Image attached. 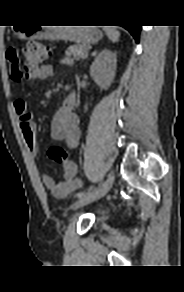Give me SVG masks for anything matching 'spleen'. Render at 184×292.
I'll return each mask as SVG.
<instances>
[{
	"label": "spleen",
	"mask_w": 184,
	"mask_h": 292,
	"mask_svg": "<svg viewBox=\"0 0 184 292\" xmlns=\"http://www.w3.org/2000/svg\"><path fill=\"white\" fill-rule=\"evenodd\" d=\"M104 30L113 43L119 40L120 32L115 27H105Z\"/></svg>",
	"instance_id": "spleen-1"
}]
</instances>
